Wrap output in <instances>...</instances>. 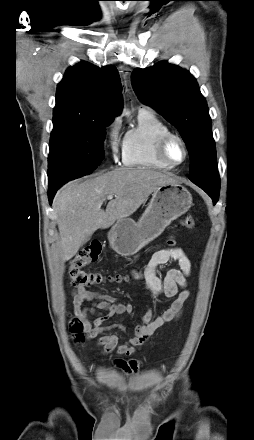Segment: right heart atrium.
<instances>
[{"instance_id":"obj_1","label":"right heart atrium","mask_w":254,"mask_h":440,"mask_svg":"<svg viewBox=\"0 0 254 440\" xmlns=\"http://www.w3.org/2000/svg\"><path fill=\"white\" fill-rule=\"evenodd\" d=\"M121 122L119 119H113L106 133L107 144L113 161H117L123 148V139L120 133Z\"/></svg>"}]
</instances>
